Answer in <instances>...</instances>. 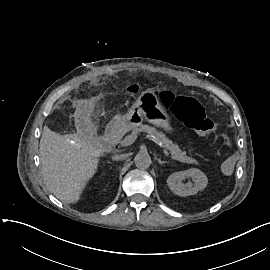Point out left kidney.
Returning a JSON list of instances; mask_svg holds the SVG:
<instances>
[{
  "instance_id": "5707ae66",
  "label": "left kidney",
  "mask_w": 270,
  "mask_h": 270,
  "mask_svg": "<svg viewBox=\"0 0 270 270\" xmlns=\"http://www.w3.org/2000/svg\"><path fill=\"white\" fill-rule=\"evenodd\" d=\"M187 179V184L183 180ZM193 179L194 184L191 180ZM169 188L179 196H190L196 194L199 190H203L208 183L206 175L198 169H189L180 171L170 175L167 179Z\"/></svg>"
}]
</instances>
